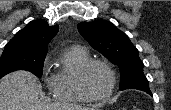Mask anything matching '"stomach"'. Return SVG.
<instances>
[{"label":"stomach","mask_w":171,"mask_h":110,"mask_svg":"<svg viewBox=\"0 0 171 110\" xmlns=\"http://www.w3.org/2000/svg\"><path fill=\"white\" fill-rule=\"evenodd\" d=\"M91 110H99V109H91Z\"/></svg>","instance_id":"obj_1"}]
</instances>
